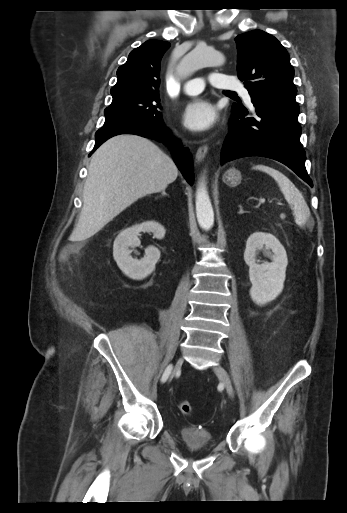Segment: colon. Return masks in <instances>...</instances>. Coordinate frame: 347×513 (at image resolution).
<instances>
[{
	"label": "colon",
	"mask_w": 347,
	"mask_h": 513,
	"mask_svg": "<svg viewBox=\"0 0 347 513\" xmlns=\"http://www.w3.org/2000/svg\"><path fill=\"white\" fill-rule=\"evenodd\" d=\"M180 412L185 416H191L193 413V407L187 400H180L178 403Z\"/></svg>",
	"instance_id": "1"
}]
</instances>
